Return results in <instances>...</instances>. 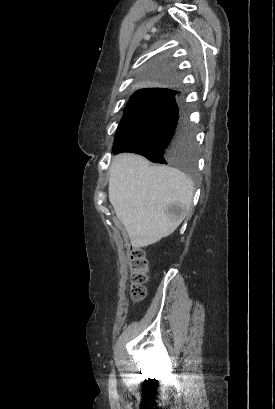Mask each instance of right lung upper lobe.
<instances>
[{
	"label": "right lung upper lobe",
	"instance_id": "1",
	"mask_svg": "<svg viewBox=\"0 0 275 409\" xmlns=\"http://www.w3.org/2000/svg\"><path fill=\"white\" fill-rule=\"evenodd\" d=\"M161 90H165V89L156 88L155 90H139V91H137L136 93H138V92H152V91H161Z\"/></svg>",
	"mask_w": 275,
	"mask_h": 409
}]
</instances>
